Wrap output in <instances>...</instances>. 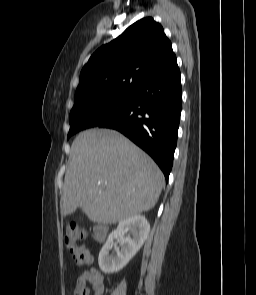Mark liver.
I'll return each instance as SVG.
<instances>
[{"label": "liver", "instance_id": "liver-1", "mask_svg": "<svg viewBox=\"0 0 256 295\" xmlns=\"http://www.w3.org/2000/svg\"><path fill=\"white\" fill-rule=\"evenodd\" d=\"M163 186L157 164L125 136L86 130L71 147L61 214L79 207L92 222L114 224L152 209Z\"/></svg>", "mask_w": 256, "mask_h": 295}]
</instances>
